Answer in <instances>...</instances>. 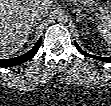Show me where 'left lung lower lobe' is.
<instances>
[{
	"label": "left lung lower lobe",
	"instance_id": "0a47b994",
	"mask_svg": "<svg viewBox=\"0 0 111 106\" xmlns=\"http://www.w3.org/2000/svg\"><path fill=\"white\" fill-rule=\"evenodd\" d=\"M75 46L77 47V49L85 56H88V57H91V58H94V59H97V60H100V61H103V62H111V57H99V56H95V55H91V54H88L87 52L83 51L79 46L78 44L75 42Z\"/></svg>",
	"mask_w": 111,
	"mask_h": 106
}]
</instances>
